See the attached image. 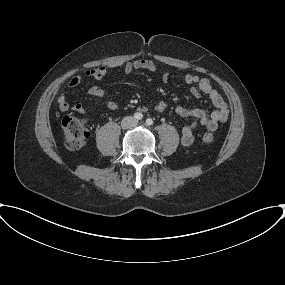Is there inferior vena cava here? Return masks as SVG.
I'll use <instances>...</instances> for the list:
<instances>
[{"label": "inferior vena cava", "instance_id": "inferior-vena-cava-1", "mask_svg": "<svg viewBox=\"0 0 285 285\" xmlns=\"http://www.w3.org/2000/svg\"><path fill=\"white\" fill-rule=\"evenodd\" d=\"M130 119H131V121H132V124H131L130 126H133V125H134L135 120H134L133 118H130Z\"/></svg>", "mask_w": 285, "mask_h": 285}]
</instances>
